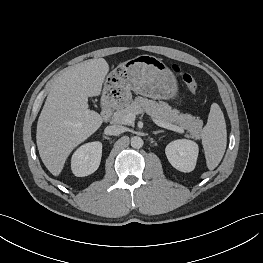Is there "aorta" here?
Instances as JSON below:
<instances>
[{
    "label": "aorta",
    "instance_id": "obj_1",
    "mask_svg": "<svg viewBox=\"0 0 263 263\" xmlns=\"http://www.w3.org/2000/svg\"><path fill=\"white\" fill-rule=\"evenodd\" d=\"M131 146L135 149H139L143 146V140L140 137H132L131 138Z\"/></svg>",
    "mask_w": 263,
    "mask_h": 263
}]
</instances>
